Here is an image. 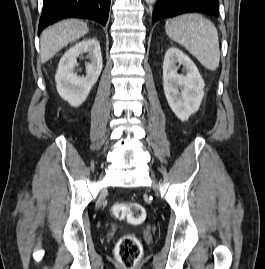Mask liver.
<instances>
[{
    "label": "liver",
    "instance_id": "1",
    "mask_svg": "<svg viewBox=\"0 0 265 269\" xmlns=\"http://www.w3.org/2000/svg\"><path fill=\"white\" fill-rule=\"evenodd\" d=\"M88 31L87 23L77 19L64 20L47 28L40 37L41 62H47L58 51L81 38Z\"/></svg>",
    "mask_w": 265,
    "mask_h": 269
}]
</instances>
